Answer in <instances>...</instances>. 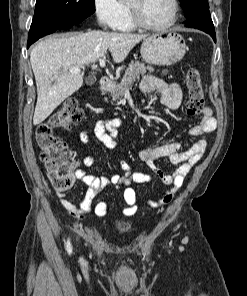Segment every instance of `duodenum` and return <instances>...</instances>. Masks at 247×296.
Here are the masks:
<instances>
[{"label": "duodenum", "mask_w": 247, "mask_h": 296, "mask_svg": "<svg viewBox=\"0 0 247 296\" xmlns=\"http://www.w3.org/2000/svg\"><path fill=\"white\" fill-rule=\"evenodd\" d=\"M112 87H113V83L110 80L103 79L101 81V89H102V91L108 92V91H110L112 89Z\"/></svg>", "instance_id": "1"}]
</instances>
